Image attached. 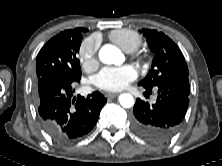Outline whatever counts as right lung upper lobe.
Segmentation results:
<instances>
[{"mask_svg":"<svg viewBox=\"0 0 222 166\" xmlns=\"http://www.w3.org/2000/svg\"><path fill=\"white\" fill-rule=\"evenodd\" d=\"M80 29H82L83 31H88L87 29H84V28H80Z\"/></svg>","mask_w":222,"mask_h":166,"instance_id":"cb5924a9","label":"right lung upper lobe"}]
</instances>
